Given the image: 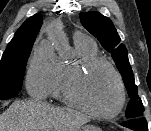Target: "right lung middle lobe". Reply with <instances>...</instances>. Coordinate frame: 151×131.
I'll return each mask as SVG.
<instances>
[{
    "mask_svg": "<svg viewBox=\"0 0 151 131\" xmlns=\"http://www.w3.org/2000/svg\"><path fill=\"white\" fill-rule=\"evenodd\" d=\"M32 46L6 48L0 61V100L13 98L20 92Z\"/></svg>",
    "mask_w": 151,
    "mask_h": 131,
    "instance_id": "right-lung-middle-lobe-1",
    "label": "right lung middle lobe"
}]
</instances>
